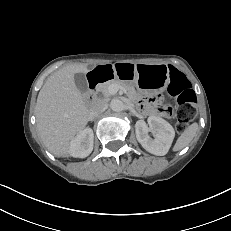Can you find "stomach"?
<instances>
[{"label": "stomach", "mask_w": 231, "mask_h": 231, "mask_svg": "<svg viewBox=\"0 0 231 231\" xmlns=\"http://www.w3.org/2000/svg\"><path fill=\"white\" fill-rule=\"evenodd\" d=\"M128 70L127 77L148 93H159L166 89L169 79V67L165 64L122 63L114 67Z\"/></svg>", "instance_id": "1"}]
</instances>
